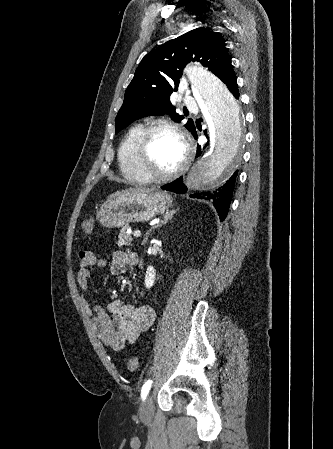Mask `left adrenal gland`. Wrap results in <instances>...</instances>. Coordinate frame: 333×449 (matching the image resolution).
<instances>
[{"label": "left adrenal gland", "instance_id": "a2214340", "mask_svg": "<svg viewBox=\"0 0 333 449\" xmlns=\"http://www.w3.org/2000/svg\"><path fill=\"white\" fill-rule=\"evenodd\" d=\"M178 211H179V208H176V209L173 208L172 210H170V212H168V213H166V214L164 215L163 220H161V222H160L157 226H154L152 229L157 228L158 226H162L163 224L166 225L169 221L172 220V218L174 217V215H175ZM152 229H150V230L146 233V236H145V238H144L142 244H145V243L147 242L148 236H149V234L152 232Z\"/></svg>", "mask_w": 333, "mask_h": 449}]
</instances>
